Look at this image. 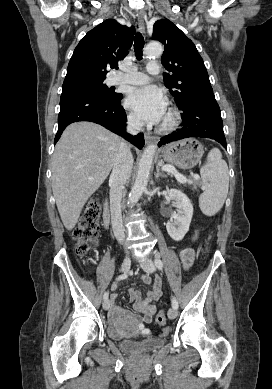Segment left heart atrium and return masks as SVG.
Here are the masks:
<instances>
[{"label": "left heart atrium", "mask_w": 272, "mask_h": 389, "mask_svg": "<svg viewBox=\"0 0 272 389\" xmlns=\"http://www.w3.org/2000/svg\"><path fill=\"white\" fill-rule=\"evenodd\" d=\"M126 105L139 119L150 124L159 123L166 115V98L155 86L133 88L128 94Z\"/></svg>", "instance_id": "1"}]
</instances>
